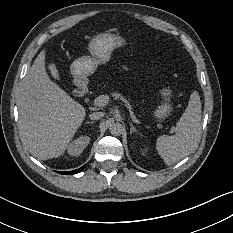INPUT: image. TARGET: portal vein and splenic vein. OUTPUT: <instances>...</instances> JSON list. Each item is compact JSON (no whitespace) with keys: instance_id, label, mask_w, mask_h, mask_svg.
<instances>
[{"instance_id":"obj_1","label":"portal vein and splenic vein","mask_w":233,"mask_h":233,"mask_svg":"<svg viewBox=\"0 0 233 233\" xmlns=\"http://www.w3.org/2000/svg\"><path fill=\"white\" fill-rule=\"evenodd\" d=\"M110 99L111 94H101L94 100V103L96 106L104 107L109 103Z\"/></svg>"}]
</instances>
